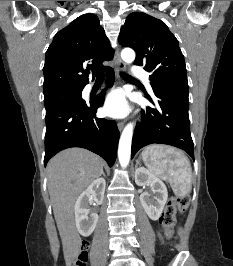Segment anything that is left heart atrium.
<instances>
[{
    "instance_id": "left-heart-atrium-1",
    "label": "left heart atrium",
    "mask_w": 233,
    "mask_h": 266,
    "mask_svg": "<svg viewBox=\"0 0 233 266\" xmlns=\"http://www.w3.org/2000/svg\"><path fill=\"white\" fill-rule=\"evenodd\" d=\"M104 113L113 118H122L127 115L129 105L125 93L120 90L111 91L105 98Z\"/></svg>"
}]
</instances>
